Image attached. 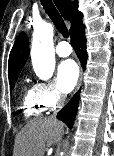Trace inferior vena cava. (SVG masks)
Segmentation results:
<instances>
[{"mask_svg":"<svg viewBox=\"0 0 114 156\" xmlns=\"http://www.w3.org/2000/svg\"><path fill=\"white\" fill-rule=\"evenodd\" d=\"M65 98H66V96L63 94L57 95V99H56L57 109L54 110L53 114L51 115L52 119H56L57 113L64 106Z\"/></svg>","mask_w":114,"mask_h":156,"instance_id":"inferior-vena-cava-1","label":"inferior vena cava"}]
</instances>
